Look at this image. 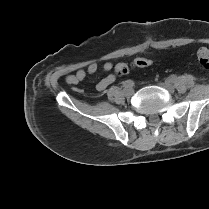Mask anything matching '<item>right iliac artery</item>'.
<instances>
[{"label":"right iliac artery","instance_id":"right-iliac-artery-1","mask_svg":"<svg viewBox=\"0 0 209 209\" xmlns=\"http://www.w3.org/2000/svg\"><path fill=\"white\" fill-rule=\"evenodd\" d=\"M124 86H125V87H131L132 84H131V83H125Z\"/></svg>","mask_w":209,"mask_h":209}]
</instances>
